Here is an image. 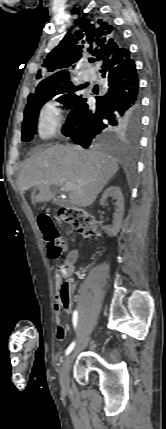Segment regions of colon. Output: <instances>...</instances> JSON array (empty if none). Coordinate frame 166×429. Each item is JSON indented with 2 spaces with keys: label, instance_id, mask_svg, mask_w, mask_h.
<instances>
[{
  "label": "colon",
  "instance_id": "1",
  "mask_svg": "<svg viewBox=\"0 0 166 429\" xmlns=\"http://www.w3.org/2000/svg\"><path fill=\"white\" fill-rule=\"evenodd\" d=\"M59 218L86 237L99 235L100 228L97 219L84 208H62L59 212ZM38 225L44 236L49 256L52 259L59 258L64 251L65 244L52 219L49 216L41 215L38 217ZM63 290L65 293L69 292L70 287L67 282L64 283Z\"/></svg>",
  "mask_w": 166,
  "mask_h": 429
}]
</instances>
